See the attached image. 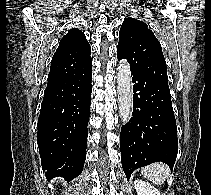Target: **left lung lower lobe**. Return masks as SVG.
Listing matches in <instances>:
<instances>
[{
  "label": "left lung lower lobe",
  "mask_w": 211,
  "mask_h": 195,
  "mask_svg": "<svg viewBox=\"0 0 211 195\" xmlns=\"http://www.w3.org/2000/svg\"><path fill=\"white\" fill-rule=\"evenodd\" d=\"M131 76L133 113L120 134L121 161L127 179L135 169L153 162H165L172 168L178 152L170 91L143 72L131 70Z\"/></svg>",
  "instance_id": "0a47b994"
}]
</instances>
